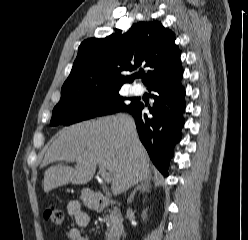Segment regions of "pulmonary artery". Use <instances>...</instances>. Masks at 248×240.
Wrapping results in <instances>:
<instances>
[{
    "label": "pulmonary artery",
    "instance_id": "obj_1",
    "mask_svg": "<svg viewBox=\"0 0 248 240\" xmlns=\"http://www.w3.org/2000/svg\"><path fill=\"white\" fill-rule=\"evenodd\" d=\"M144 91V88L142 87V85L140 84H135L133 87H132V92L136 95H141Z\"/></svg>",
    "mask_w": 248,
    "mask_h": 240
}]
</instances>
